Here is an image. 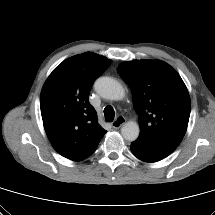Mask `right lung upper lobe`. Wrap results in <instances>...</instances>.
<instances>
[{
	"label": "right lung upper lobe",
	"instance_id": "right-lung-upper-lobe-1",
	"mask_svg": "<svg viewBox=\"0 0 215 215\" xmlns=\"http://www.w3.org/2000/svg\"><path fill=\"white\" fill-rule=\"evenodd\" d=\"M92 52L64 60L47 78L40 98L46 134L62 156L81 161L97 148L106 131L89 103L91 86L111 64Z\"/></svg>",
	"mask_w": 215,
	"mask_h": 215
}]
</instances>
